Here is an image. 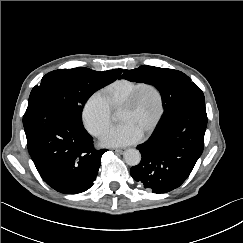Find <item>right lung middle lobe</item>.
Segmentation results:
<instances>
[{"mask_svg": "<svg viewBox=\"0 0 243 243\" xmlns=\"http://www.w3.org/2000/svg\"><path fill=\"white\" fill-rule=\"evenodd\" d=\"M116 80L107 72L88 68L59 69L46 74L36 85L29 102L43 100L68 110L82 124V110L88 98L97 90Z\"/></svg>", "mask_w": 243, "mask_h": 243, "instance_id": "1", "label": "right lung middle lobe"}]
</instances>
